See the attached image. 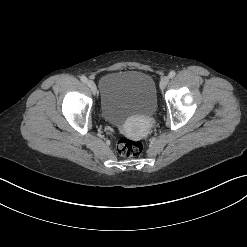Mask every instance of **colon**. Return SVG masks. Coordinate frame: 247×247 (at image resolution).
Masks as SVG:
<instances>
[{
  "label": "colon",
  "mask_w": 247,
  "mask_h": 247,
  "mask_svg": "<svg viewBox=\"0 0 247 247\" xmlns=\"http://www.w3.org/2000/svg\"><path fill=\"white\" fill-rule=\"evenodd\" d=\"M143 145L138 140L122 138L118 141L117 151L123 157H135L141 154Z\"/></svg>",
  "instance_id": "1"
}]
</instances>
